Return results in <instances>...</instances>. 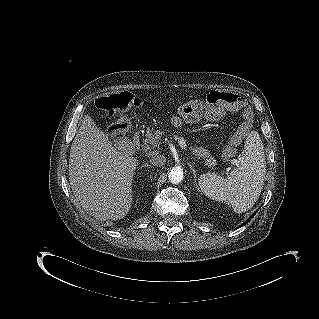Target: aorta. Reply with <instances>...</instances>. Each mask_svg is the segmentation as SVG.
Wrapping results in <instances>:
<instances>
[{"label":"aorta","instance_id":"762f6f07","mask_svg":"<svg viewBox=\"0 0 319 319\" xmlns=\"http://www.w3.org/2000/svg\"><path fill=\"white\" fill-rule=\"evenodd\" d=\"M169 180L173 184H177L183 180V170L179 167H174L169 172Z\"/></svg>","mask_w":319,"mask_h":319}]
</instances>
